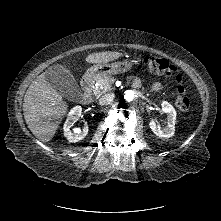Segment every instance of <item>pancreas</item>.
Instances as JSON below:
<instances>
[{"instance_id":"cf45deb5","label":"pancreas","mask_w":221,"mask_h":221,"mask_svg":"<svg viewBox=\"0 0 221 221\" xmlns=\"http://www.w3.org/2000/svg\"><path fill=\"white\" fill-rule=\"evenodd\" d=\"M114 82H115V78L111 77V76H106V77L100 78L97 81L98 86L92 88L93 94L96 97H99L100 95L104 94L105 92L112 90V84Z\"/></svg>"}]
</instances>
